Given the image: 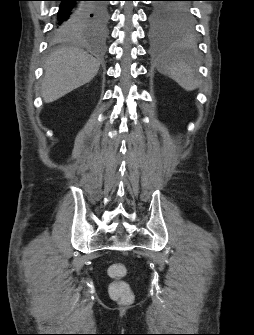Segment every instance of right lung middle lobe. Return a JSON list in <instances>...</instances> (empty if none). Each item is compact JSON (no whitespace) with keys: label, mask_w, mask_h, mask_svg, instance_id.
Masks as SVG:
<instances>
[{"label":"right lung middle lobe","mask_w":254,"mask_h":335,"mask_svg":"<svg viewBox=\"0 0 254 335\" xmlns=\"http://www.w3.org/2000/svg\"><path fill=\"white\" fill-rule=\"evenodd\" d=\"M95 6L99 11V20L92 26V31L90 33H84L76 28L69 32L52 34V40L58 41L79 35H92L103 33L105 31L107 22V4L105 2H98L95 4Z\"/></svg>","instance_id":"1"}]
</instances>
